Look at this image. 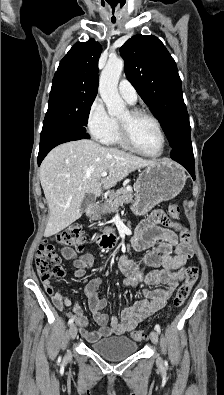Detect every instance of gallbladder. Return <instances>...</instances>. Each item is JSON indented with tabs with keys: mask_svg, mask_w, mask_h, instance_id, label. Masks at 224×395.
I'll list each match as a JSON object with an SVG mask.
<instances>
[{
	"mask_svg": "<svg viewBox=\"0 0 224 395\" xmlns=\"http://www.w3.org/2000/svg\"><path fill=\"white\" fill-rule=\"evenodd\" d=\"M95 201V197L87 194L81 203V212L84 213Z\"/></svg>",
	"mask_w": 224,
	"mask_h": 395,
	"instance_id": "obj_1",
	"label": "gallbladder"
}]
</instances>
